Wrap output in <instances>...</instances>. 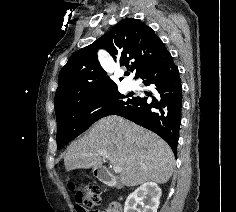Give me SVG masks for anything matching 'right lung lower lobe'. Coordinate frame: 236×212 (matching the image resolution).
Instances as JSON below:
<instances>
[{"instance_id":"obj_1","label":"right lung lower lobe","mask_w":236,"mask_h":212,"mask_svg":"<svg viewBox=\"0 0 236 212\" xmlns=\"http://www.w3.org/2000/svg\"><path fill=\"white\" fill-rule=\"evenodd\" d=\"M144 85H153L152 102L147 97H134L133 101L118 109L114 115L125 117L162 137L177 154L181 123L182 86L179 70L165 46L140 75Z\"/></svg>"}]
</instances>
